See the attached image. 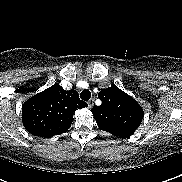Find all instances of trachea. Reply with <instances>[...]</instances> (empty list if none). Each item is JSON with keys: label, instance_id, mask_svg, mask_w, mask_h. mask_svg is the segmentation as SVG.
I'll return each mask as SVG.
<instances>
[{"label": "trachea", "instance_id": "1", "mask_svg": "<svg viewBox=\"0 0 182 182\" xmlns=\"http://www.w3.org/2000/svg\"><path fill=\"white\" fill-rule=\"evenodd\" d=\"M80 98L84 101H88L91 98V92L89 90H83L80 93Z\"/></svg>", "mask_w": 182, "mask_h": 182}]
</instances>
